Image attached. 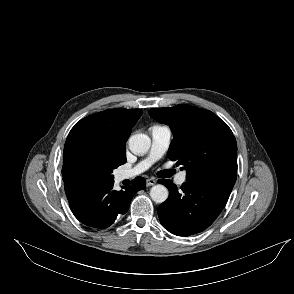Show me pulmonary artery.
I'll return each mask as SVG.
<instances>
[{
    "mask_svg": "<svg viewBox=\"0 0 294 294\" xmlns=\"http://www.w3.org/2000/svg\"><path fill=\"white\" fill-rule=\"evenodd\" d=\"M150 135L152 142L147 156L133 167L120 170L117 173L118 180L130 179L141 174L166 153L172 137L171 129L166 125L154 124L150 128ZM175 181L178 185L184 184L186 181V172L182 171L178 173Z\"/></svg>",
    "mask_w": 294,
    "mask_h": 294,
    "instance_id": "e3ab8cb5",
    "label": "pulmonary artery"
}]
</instances>
